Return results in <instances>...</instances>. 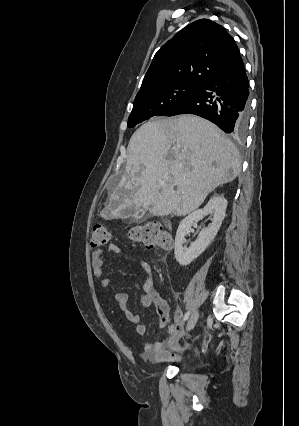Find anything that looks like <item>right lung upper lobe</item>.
<instances>
[{
  "instance_id": "right-lung-upper-lobe-1",
  "label": "right lung upper lobe",
  "mask_w": 299,
  "mask_h": 426,
  "mask_svg": "<svg viewBox=\"0 0 299 426\" xmlns=\"http://www.w3.org/2000/svg\"><path fill=\"white\" fill-rule=\"evenodd\" d=\"M239 56L225 28L208 19L197 20L157 51L136 97L174 83L202 86Z\"/></svg>"
}]
</instances>
